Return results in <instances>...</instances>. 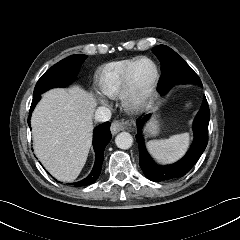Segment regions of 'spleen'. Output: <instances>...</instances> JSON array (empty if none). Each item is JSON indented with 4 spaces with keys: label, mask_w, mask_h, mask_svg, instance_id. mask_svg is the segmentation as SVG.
<instances>
[{
    "label": "spleen",
    "mask_w": 240,
    "mask_h": 240,
    "mask_svg": "<svg viewBox=\"0 0 240 240\" xmlns=\"http://www.w3.org/2000/svg\"><path fill=\"white\" fill-rule=\"evenodd\" d=\"M190 144L189 133L173 135L168 139L151 140L147 149L151 156L161 164L172 163L181 158Z\"/></svg>",
    "instance_id": "3e777b00"
}]
</instances>
